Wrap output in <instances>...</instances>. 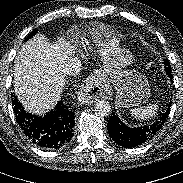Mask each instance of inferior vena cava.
Wrapping results in <instances>:
<instances>
[{"label": "inferior vena cava", "instance_id": "1", "mask_svg": "<svg viewBox=\"0 0 183 183\" xmlns=\"http://www.w3.org/2000/svg\"><path fill=\"white\" fill-rule=\"evenodd\" d=\"M80 70H81V62L75 58L69 59L63 67L64 74L68 76H75L79 74Z\"/></svg>", "mask_w": 183, "mask_h": 183}]
</instances>
